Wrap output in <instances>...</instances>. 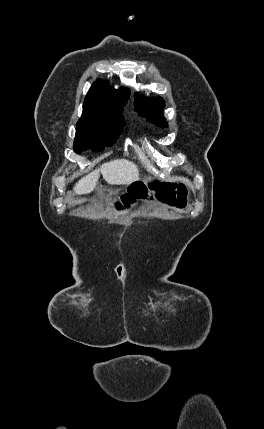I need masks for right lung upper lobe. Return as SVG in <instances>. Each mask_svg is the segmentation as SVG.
Returning <instances> with one entry per match:
<instances>
[{
    "label": "right lung upper lobe",
    "mask_w": 264,
    "mask_h": 429,
    "mask_svg": "<svg viewBox=\"0 0 264 429\" xmlns=\"http://www.w3.org/2000/svg\"><path fill=\"white\" fill-rule=\"evenodd\" d=\"M129 97V90L120 88L115 90L110 88L107 83L97 81L92 85L86 95L84 105H111L123 106Z\"/></svg>",
    "instance_id": "1"
}]
</instances>
